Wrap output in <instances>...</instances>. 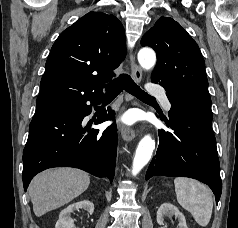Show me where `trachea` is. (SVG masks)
Segmentation results:
<instances>
[{"label":"trachea","instance_id":"3493384b","mask_svg":"<svg viewBox=\"0 0 238 228\" xmlns=\"http://www.w3.org/2000/svg\"><path fill=\"white\" fill-rule=\"evenodd\" d=\"M124 89L128 93L142 100L155 99L154 97L148 95L144 90H142L127 74H121L118 78L109 83L106 87V95L115 96Z\"/></svg>","mask_w":238,"mask_h":228}]
</instances>
